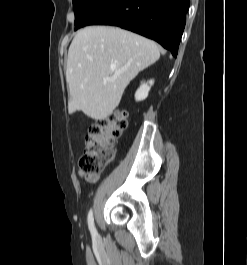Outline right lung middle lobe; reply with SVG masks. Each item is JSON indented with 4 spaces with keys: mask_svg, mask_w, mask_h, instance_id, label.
<instances>
[{
    "mask_svg": "<svg viewBox=\"0 0 247 265\" xmlns=\"http://www.w3.org/2000/svg\"><path fill=\"white\" fill-rule=\"evenodd\" d=\"M98 0H73L75 24H77Z\"/></svg>",
    "mask_w": 247,
    "mask_h": 265,
    "instance_id": "right-lung-middle-lobe-1",
    "label": "right lung middle lobe"
}]
</instances>
